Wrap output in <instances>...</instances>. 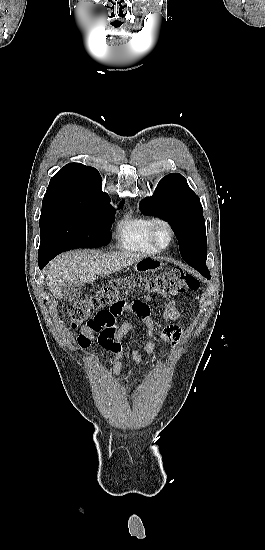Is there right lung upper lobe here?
Returning a JSON list of instances; mask_svg holds the SVG:
<instances>
[{"mask_svg": "<svg viewBox=\"0 0 265 550\" xmlns=\"http://www.w3.org/2000/svg\"><path fill=\"white\" fill-rule=\"evenodd\" d=\"M91 198L110 199L102 192L98 170L80 163H69L51 178L43 201L72 202Z\"/></svg>", "mask_w": 265, "mask_h": 550, "instance_id": "obj_1", "label": "right lung upper lobe"}]
</instances>
